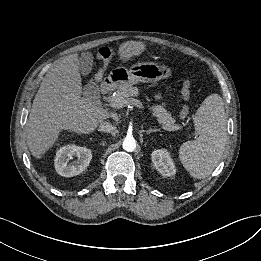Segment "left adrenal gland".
I'll return each instance as SVG.
<instances>
[{"label": "left adrenal gland", "mask_w": 261, "mask_h": 261, "mask_svg": "<svg viewBox=\"0 0 261 261\" xmlns=\"http://www.w3.org/2000/svg\"><path fill=\"white\" fill-rule=\"evenodd\" d=\"M147 135L153 133V132H160V129L156 128H150L149 130L145 131Z\"/></svg>", "instance_id": "obj_1"}]
</instances>
